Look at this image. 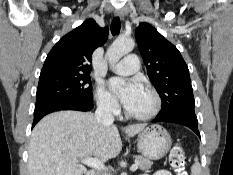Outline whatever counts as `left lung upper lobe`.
<instances>
[{
  "label": "left lung upper lobe",
  "mask_w": 233,
  "mask_h": 175,
  "mask_svg": "<svg viewBox=\"0 0 233 175\" xmlns=\"http://www.w3.org/2000/svg\"><path fill=\"white\" fill-rule=\"evenodd\" d=\"M135 36L148 76L162 100L158 116L194 112L189 70L178 49L148 23L140 24Z\"/></svg>",
  "instance_id": "1"
}]
</instances>
